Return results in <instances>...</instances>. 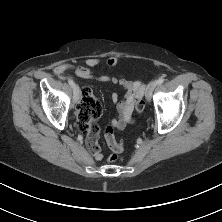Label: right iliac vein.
Listing matches in <instances>:
<instances>
[{
  "label": "right iliac vein",
  "instance_id": "63e3f726",
  "mask_svg": "<svg viewBox=\"0 0 222 222\" xmlns=\"http://www.w3.org/2000/svg\"><path fill=\"white\" fill-rule=\"evenodd\" d=\"M79 98H80V89L77 85H75V87H74V96H73L74 102H78Z\"/></svg>",
  "mask_w": 222,
  "mask_h": 222
}]
</instances>
